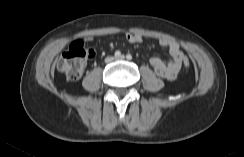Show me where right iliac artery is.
Listing matches in <instances>:
<instances>
[{
  "instance_id": "right-iliac-artery-1",
  "label": "right iliac artery",
  "mask_w": 244,
  "mask_h": 157,
  "mask_svg": "<svg viewBox=\"0 0 244 157\" xmlns=\"http://www.w3.org/2000/svg\"><path fill=\"white\" fill-rule=\"evenodd\" d=\"M114 55H115V57H119L121 55V52L120 51H116Z\"/></svg>"
}]
</instances>
